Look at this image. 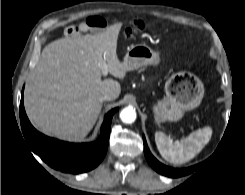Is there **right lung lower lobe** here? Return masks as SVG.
<instances>
[{"instance_id": "obj_1", "label": "right lung lower lobe", "mask_w": 245, "mask_h": 195, "mask_svg": "<svg viewBox=\"0 0 245 195\" xmlns=\"http://www.w3.org/2000/svg\"><path fill=\"white\" fill-rule=\"evenodd\" d=\"M117 110L118 108H115L106 114L97 141L81 144L67 143L49 138L34 129L25 113L22 90L20 122L30 148L45 163L61 172L79 174L92 170L105 157L112 116Z\"/></svg>"}]
</instances>
